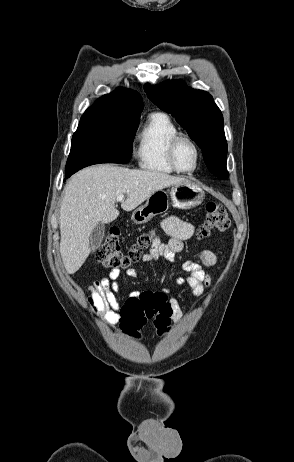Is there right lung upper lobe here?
<instances>
[{"instance_id": "1", "label": "right lung upper lobe", "mask_w": 294, "mask_h": 462, "mask_svg": "<svg viewBox=\"0 0 294 462\" xmlns=\"http://www.w3.org/2000/svg\"><path fill=\"white\" fill-rule=\"evenodd\" d=\"M143 107L142 97L136 91L117 88L114 92L99 98L85 113L100 112L134 116L140 115Z\"/></svg>"}]
</instances>
